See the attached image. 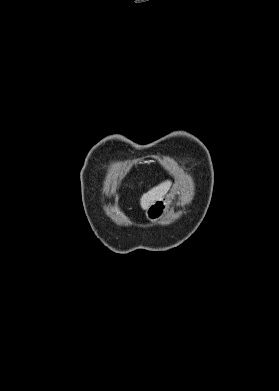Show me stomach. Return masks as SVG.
I'll list each match as a JSON object with an SVG mask.
<instances>
[{
  "label": "stomach",
  "instance_id": "1",
  "mask_svg": "<svg viewBox=\"0 0 279 391\" xmlns=\"http://www.w3.org/2000/svg\"><path fill=\"white\" fill-rule=\"evenodd\" d=\"M175 189V186L172 190ZM171 195H166L162 197L160 200L154 202L147 210H146V218L151 222H156L163 217L165 214L169 204H170Z\"/></svg>",
  "mask_w": 279,
  "mask_h": 391
}]
</instances>
